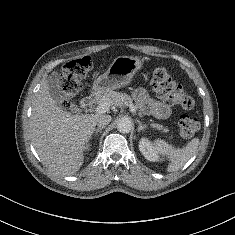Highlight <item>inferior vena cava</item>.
<instances>
[{
	"label": "inferior vena cava",
	"instance_id": "602c4592",
	"mask_svg": "<svg viewBox=\"0 0 235 235\" xmlns=\"http://www.w3.org/2000/svg\"><path fill=\"white\" fill-rule=\"evenodd\" d=\"M111 122V116L110 115H100L97 120L96 124L98 127H105Z\"/></svg>",
	"mask_w": 235,
	"mask_h": 235
}]
</instances>
